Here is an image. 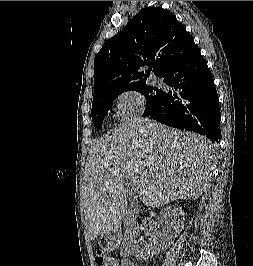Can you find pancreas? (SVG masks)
<instances>
[{
    "label": "pancreas",
    "instance_id": "pancreas-1",
    "mask_svg": "<svg viewBox=\"0 0 253 266\" xmlns=\"http://www.w3.org/2000/svg\"><path fill=\"white\" fill-rule=\"evenodd\" d=\"M134 214H135V211H134ZM134 214H133V215H134ZM129 216H132V215L130 214ZM131 220H132V219H131Z\"/></svg>",
    "mask_w": 253,
    "mask_h": 266
}]
</instances>
